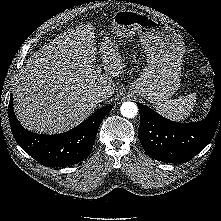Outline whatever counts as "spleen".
<instances>
[{"instance_id":"3e777b00","label":"spleen","mask_w":221,"mask_h":221,"mask_svg":"<svg viewBox=\"0 0 221 221\" xmlns=\"http://www.w3.org/2000/svg\"><path fill=\"white\" fill-rule=\"evenodd\" d=\"M196 103L195 93L179 97L175 100H168L164 103H157L154 105V108L161 115L171 119L173 121H184L186 120Z\"/></svg>"}]
</instances>
